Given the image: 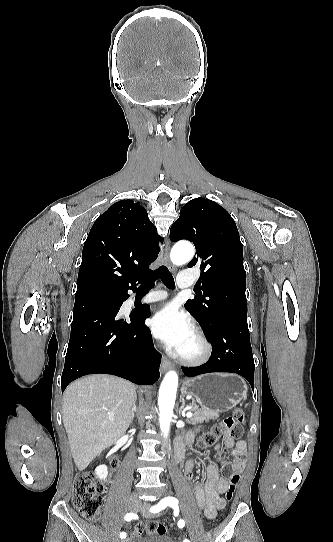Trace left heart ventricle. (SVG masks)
<instances>
[{"label": "left heart ventricle", "instance_id": "1", "mask_svg": "<svg viewBox=\"0 0 333 542\" xmlns=\"http://www.w3.org/2000/svg\"><path fill=\"white\" fill-rule=\"evenodd\" d=\"M198 351H199V345H198L196 336L194 334L192 337H190L186 341V343L183 345V347L181 348V350L178 352L177 355L190 357V356L196 355Z\"/></svg>", "mask_w": 333, "mask_h": 542}]
</instances>
